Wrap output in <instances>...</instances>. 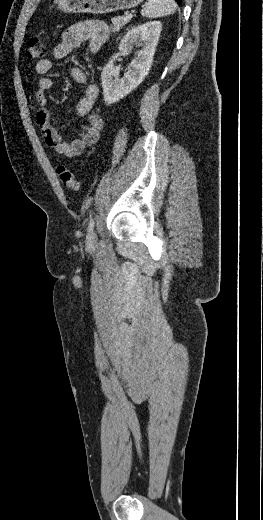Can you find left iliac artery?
Instances as JSON below:
<instances>
[{"mask_svg": "<svg viewBox=\"0 0 263 520\" xmlns=\"http://www.w3.org/2000/svg\"><path fill=\"white\" fill-rule=\"evenodd\" d=\"M94 223H95V222H94V219L91 218L90 221H89V224H88V231L93 230V228H94Z\"/></svg>", "mask_w": 263, "mask_h": 520, "instance_id": "left-iliac-artery-1", "label": "left iliac artery"}]
</instances>
